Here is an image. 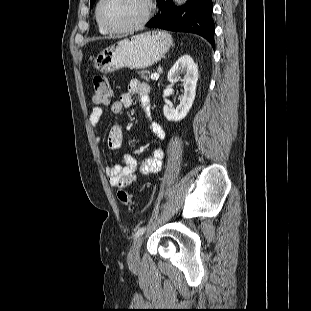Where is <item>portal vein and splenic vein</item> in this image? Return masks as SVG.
<instances>
[{
	"label": "portal vein and splenic vein",
	"instance_id": "portal-vein-and-splenic-vein-1",
	"mask_svg": "<svg viewBox=\"0 0 311 311\" xmlns=\"http://www.w3.org/2000/svg\"><path fill=\"white\" fill-rule=\"evenodd\" d=\"M159 78V74L158 73H152L151 74V79L152 80H157Z\"/></svg>",
	"mask_w": 311,
	"mask_h": 311
}]
</instances>
